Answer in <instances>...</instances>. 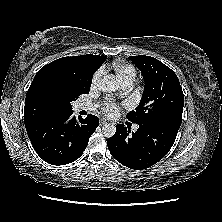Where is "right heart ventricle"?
Masks as SVG:
<instances>
[{
  "instance_id": "e07e8e85",
  "label": "right heart ventricle",
  "mask_w": 222,
  "mask_h": 222,
  "mask_svg": "<svg viewBox=\"0 0 222 222\" xmlns=\"http://www.w3.org/2000/svg\"><path fill=\"white\" fill-rule=\"evenodd\" d=\"M113 69L120 84L125 82L133 83L137 77L136 69L131 64L116 62L113 64Z\"/></svg>"
}]
</instances>
